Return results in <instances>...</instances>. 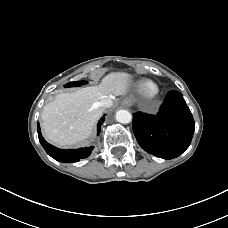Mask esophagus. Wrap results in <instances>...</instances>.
<instances>
[{
	"label": "esophagus",
	"instance_id": "esophagus-1",
	"mask_svg": "<svg viewBox=\"0 0 228 228\" xmlns=\"http://www.w3.org/2000/svg\"><path fill=\"white\" fill-rule=\"evenodd\" d=\"M131 104H132V101L129 98H125V99L122 100V105H124L126 107L131 106Z\"/></svg>",
	"mask_w": 228,
	"mask_h": 228
}]
</instances>
